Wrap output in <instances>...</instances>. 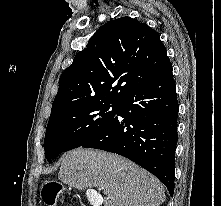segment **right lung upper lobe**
<instances>
[{"label": "right lung upper lobe", "mask_w": 221, "mask_h": 206, "mask_svg": "<svg viewBox=\"0 0 221 206\" xmlns=\"http://www.w3.org/2000/svg\"><path fill=\"white\" fill-rule=\"evenodd\" d=\"M169 64L159 35L147 24L130 17L110 21L62 73L51 115L92 103L119 104Z\"/></svg>", "instance_id": "right-lung-upper-lobe-1"}]
</instances>
